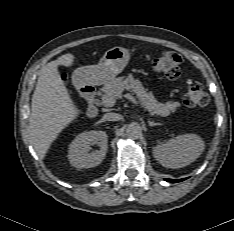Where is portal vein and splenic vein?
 <instances>
[{
    "label": "portal vein and splenic vein",
    "instance_id": "18ae733b",
    "mask_svg": "<svg viewBox=\"0 0 234 231\" xmlns=\"http://www.w3.org/2000/svg\"><path fill=\"white\" fill-rule=\"evenodd\" d=\"M126 99L130 100L132 103H134L135 105L139 106L138 101L129 93L124 94L123 95ZM102 103L107 106V107H111L115 104V100L112 98H105L102 100Z\"/></svg>",
    "mask_w": 234,
    "mask_h": 231
}]
</instances>
